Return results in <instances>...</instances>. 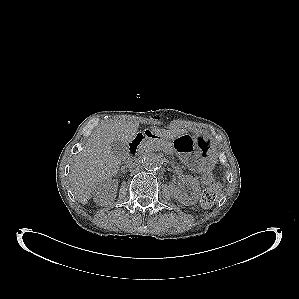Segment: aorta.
<instances>
[{
  "mask_svg": "<svg viewBox=\"0 0 299 299\" xmlns=\"http://www.w3.org/2000/svg\"><path fill=\"white\" fill-rule=\"evenodd\" d=\"M142 165L146 170H156L161 167L162 160L156 154H147L142 160Z\"/></svg>",
  "mask_w": 299,
  "mask_h": 299,
  "instance_id": "1",
  "label": "aorta"
}]
</instances>
